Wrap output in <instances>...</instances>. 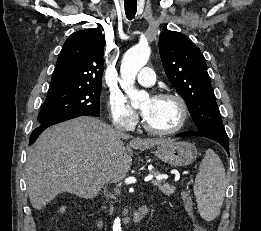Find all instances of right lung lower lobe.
<instances>
[{"label": "right lung lower lobe", "instance_id": "right-lung-lower-lobe-1", "mask_svg": "<svg viewBox=\"0 0 261 231\" xmlns=\"http://www.w3.org/2000/svg\"><path fill=\"white\" fill-rule=\"evenodd\" d=\"M79 116H89L88 114H76V115H69L66 117H62V118H58L49 122H45L42 123L39 127H37L36 129H34V131L32 132L31 136H30V143L29 145H32L35 140L38 138V136L49 126L72 119V118H76Z\"/></svg>", "mask_w": 261, "mask_h": 231}]
</instances>
